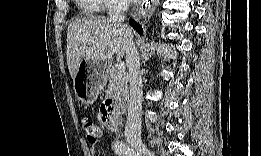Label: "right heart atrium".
Wrapping results in <instances>:
<instances>
[{"instance_id": "obj_1", "label": "right heart atrium", "mask_w": 261, "mask_h": 156, "mask_svg": "<svg viewBox=\"0 0 261 156\" xmlns=\"http://www.w3.org/2000/svg\"><path fill=\"white\" fill-rule=\"evenodd\" d=\"M94 5L93 9L94 10H112L115 8H119L121 6L120 2L115 1V0H93Z\"/></svg>"}]
</instances>
